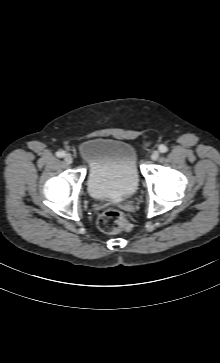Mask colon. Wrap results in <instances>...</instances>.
<instances>
[{
    "mask_svg": "<svg viewBox=\"0 0 220 363\" xmlns=\"http://www.w3.org/2000/svg\"><path fill=\"white\" fill-rule=\"evenodd\" d=\"M99 228L109 234L130 232L131 221L120 211L108 209L100 214L97 220Z\"/></svg>",
    "mask_w": 220,
    "mask_h": 363,
    "instance_id": "1",
    "label": "colon"
}]
</instances>
